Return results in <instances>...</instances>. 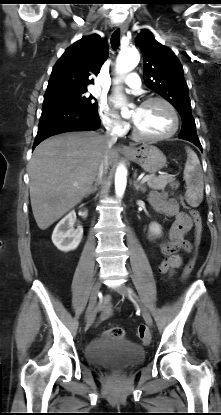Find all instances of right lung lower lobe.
<instances>
[{
    "label": "right lung lower lobe",
    "instance_id": "obj_1",
    "mask_svg": "<svg viewBox=\"0 0 221 415\" xmlns=\"http://www.w3.org/2000/svg\"><path fill=\"white\" fill-rule=\"evenodd\" d=\"M99 126L98 112L66 104H43L33 150L50 136L70 131L95 130Z\"/></svg>",
    "mask_w": 221,
    "mask_h": 415
}]
</instances>
